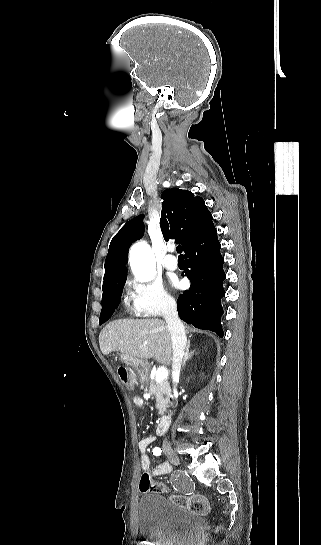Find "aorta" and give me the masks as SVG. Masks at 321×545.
<instances>
[{"label":"aorta","instance_id":"762f6f07","mask_svg":"<svg viewBox=\"0 0 321 545\" xmlns=\"http://www.w3.org/2000/svg\"><path fill=\"white\" fill-rule=\"evenodd\" d=\"M131 270L141 282L153 279L155 274V258L151 248L145 242L135 243L129 252Z\"/></svg>","mask_w":321,"mask_h":545}]
</instances>
